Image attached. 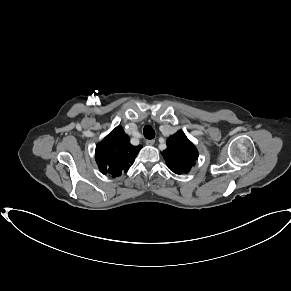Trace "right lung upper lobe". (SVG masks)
<instances>
[{"instance_id": "right-lung-upper-lobe-1", "label": "right lung upper lobe", "mask_w": 291, "mask_h": 291, "mask_svg": "<svg viewBox=\"0 0 291 291\" xmlns=\"http://www.w3.org/2000/svg\"><path fill=\"white\" fill-rule=\"evenodd\" d=\"M141 148L140 145H131L122 127H116L96 146L95 158L99 170L112 177L120 176L130 168Z\"/></svg>"}]
</instances>
